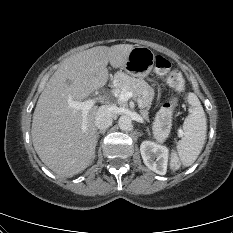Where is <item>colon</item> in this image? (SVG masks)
Listing matches in <instances>:
<instances>
[{
	"mask_svg": "<svg viewBox=\"0 0 233 233\" xmlns=\"http://www.w3.org/2000/svg\"><path fill=\"white\" fill-rule=\"evenodd\" d=\"M154 69L156 74L160 76H166V81L168 85L176 92H180L184 88V79L179 71H171V64L169 60L161 55L154 56ZM177 105V99L173 98L168 103L164 104L159 111L155 126H154V136L159 142H163L171 127L172 117L174 109ZM170 169L176 171L181 166V161L176 153L170 155L169 160Z\"/></svg>",
	"mask_w": 233,
	"mask_h": 233,
	"instance_id": "colon-1",
	"label": "colon"
}]
</instances>
